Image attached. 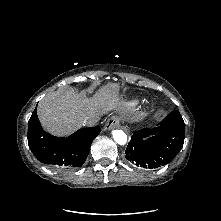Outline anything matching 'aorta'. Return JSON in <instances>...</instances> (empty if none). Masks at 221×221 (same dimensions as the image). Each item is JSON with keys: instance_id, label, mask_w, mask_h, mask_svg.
Instances as JSON below:
<instances>
[{"instance_id": "1", "label": "aorta", "mask_w": 221, "mask_h": 221, "mask_svg": "<svg viewBox=\"0 0 221 221\" xmlns=\"http://www.w3.org/2000/svg\"><path fill=\"white\" fill-rule=\"evenodd\" d=\"M112 136L115 142L120 145H125L127 142V135L122 130H113Z\"/></svg>"}]
</instances>
